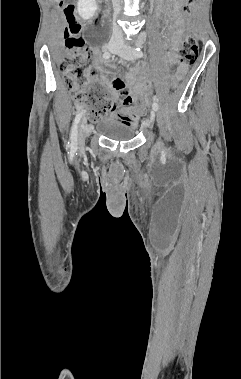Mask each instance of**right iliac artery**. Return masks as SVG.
<instances>
[{
  "instance_id": "82829eb1",
  "label": "right iliac artery",
  "mask_w": 241,
  "mask_h": 379,
  "mask_svg": "<svg viewBox=\"0 0 241 379\" xmlns=\"http://www.w3.org/2000/svg\"><path fill=\"white\" fill-rule=\"evenodd\" d=\"M111 54L108 51H105L103 54L104 59H109ZM82 117V112L78 113L74 119L72 128H71V134H70V147L71 149H75L77 146V134H78V124L80 122V119Z\"/></svg>"
}]
</instances>
